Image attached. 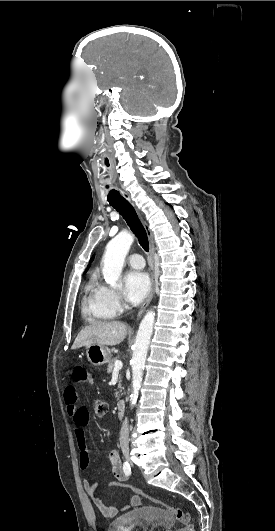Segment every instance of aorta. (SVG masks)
Segmentation results:
<instances>
[{
    "label": "aorta",
    "mask_w": 275,
    "mask_h": 531,
    "mask_svg": "<svg viewBox=\"0 0 275 531\" xmlns=\"http://www.w3.org/2000/svg\"><path fill=\"white\" fill-rule=\"evenodd\" d=\"M134 241L133 235L128 231H121L112 241H109L105 255L102 257L103 277L110 287H118L119 277L123 269L127 253ZM155 321L154 311H147L143 317L134 343L132 355V393L130 395L131 405H136L138 399L145 361L148 353L150 339L153 333Z\"/></svg>",
    "instance_id": "762f6f07"
}]
</instances>
